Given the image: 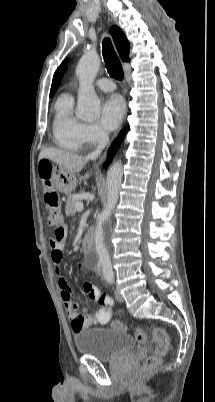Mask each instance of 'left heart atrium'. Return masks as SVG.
Returning <instances> with one entry per match:
<instances>
[{
  "label": "left heart atrium",
  "mask_w": 215,
  "mask_h": 402,
  "mask_svg": "<svg viewBox=\"0 0 215 402\" xmlns=\"http://www.w3.org/2000/svg\"><path fill=\"white\" fill-rule=\"evenodd\" d=\"M125 104L119 95H110L101 106L100 122L107 130L116 129L123 120Z\"/></svg>",
  "instance_id": "39dd6f15"
}]
</instances>
